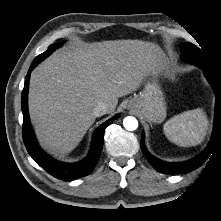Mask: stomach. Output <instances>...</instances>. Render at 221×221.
<instances>
[{
  "label": "stomach",
  "instance_id": "stomach-1",
  "mask_svg": "<svg viewBox=\"0 0 221 221\" xmlns=\"http://www.w3.org/2000/svg\"><path fill=\"white\" fill-rule=\"evenodd\" d=\"M151 76L143 90L129 101L128 107L138 111L148 122L161 123L166 118L167 106L158 84L157 71L152 72Z\"/></svg>",
  "mask_w": 221,
  "mask_h": 221
}]
</instances>
